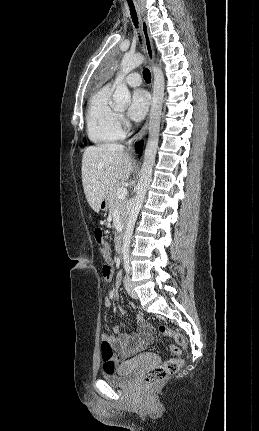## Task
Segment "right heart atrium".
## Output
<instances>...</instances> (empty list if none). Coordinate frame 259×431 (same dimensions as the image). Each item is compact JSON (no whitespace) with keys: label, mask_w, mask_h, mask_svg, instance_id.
<instances>
[{"label":"right heart atrium","mask_w":259,"mask_h":431,"mask_svg":"<svg viewBox=\"0 0 259 431\" xmlns=\"http://www.w3.org/2000/svg\"><path fill=\"white\" fill-rule=\"evenodd\" d=\"M118 121L120 124L124 122V118L121 114H118Z\"/></svg>","instance_id":"obj_1"}]
</instances>
